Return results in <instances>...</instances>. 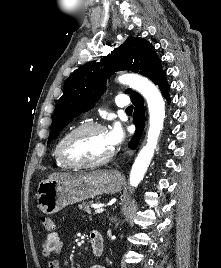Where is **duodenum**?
I'll return each mask as SVG.
<instances>
[{"label": "duodenum", "instance_id": "duodenum-1", "mask_svg": "<svg viewBox=\"0 0 221 268\" xmlns=\"http://www.w3.org/2000/svg\"><path fill=\"white\" fill-rule=\"evenodd\" d=\"M90 238L93 254L95 256H101L105 247L103 235L98 231H92Z\"/></svg>", "mask_w": 221, "mask_h": 268}]
</instances>
